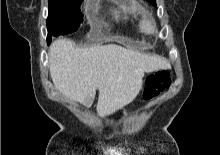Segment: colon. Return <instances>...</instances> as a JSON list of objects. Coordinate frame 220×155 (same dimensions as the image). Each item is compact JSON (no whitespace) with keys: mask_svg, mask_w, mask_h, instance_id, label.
I'll use <instances>...</instances> for the list:
<instances>
[{"mask_svg":"<svg viewBox=\"0 0 220 155\" xmlns=\"http://www.w3.org/2000/svg\"><path fill=\"white\" fill-rule=\"evenodd\" d=\"M171 85L170 73L167 70H161L147 78L144 89V98L150 101L161 94Z\"/></svg>","mask_w":220,"mask_h":155,"instance_id":"obj_1","label":"colon"}]
</instances>
